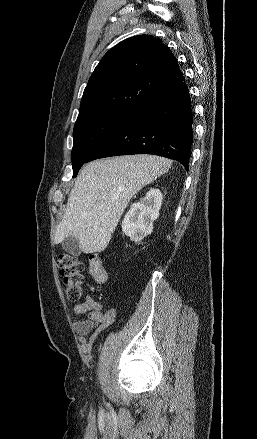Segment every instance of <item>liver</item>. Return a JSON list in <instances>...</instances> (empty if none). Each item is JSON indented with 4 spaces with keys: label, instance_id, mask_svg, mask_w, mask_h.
Wrapping results in <instances>:
<instances>
[{
    "label": "liver",
    "instance_id": "obj_1",
    "mask_svg": "<svg viewBox=\"0 0 257 439\" xmlns=\"http://www.w3.org/2000/svg\"><path fill=\"white\" fill-rule=\"evenodd\" d=\"M171 161L156 155H125L86 164L56 228L55 244L73 236L82 252L103 251L130 199L164 174Z\"/></svg>",
    "mask_w": 257,
    "mask_h": 439
}]
</instances>
